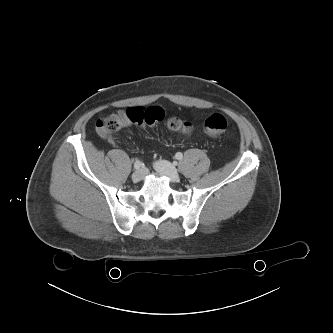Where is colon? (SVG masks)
<instances>
[{"instance_id": "colon-1", "label": "colon", "mask_w": 333, "mask_h": 333, "mask_svg": "<svg viewBox=\"0 0 333 333\" xmlns=\"http://www.w3.org/2000/svg\"><path fill=\"white\" fill-rule=\"evenodd\" d=\"M127 115L119 111L106 116L96 122V131L102 136L116 132L126 123ZM167 127L173 132L188 134L191 131V124L183 122L177 117H172L167 121ZM228 126L227 119L221 114H213L204 122L205 133L210 137H217L223 134Z\"/></svg>"}]
</instances>
